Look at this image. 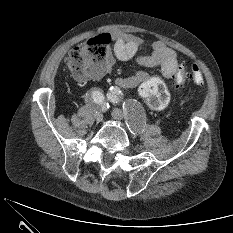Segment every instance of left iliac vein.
<instances>
[{
	"label": "left iliac vein",
	"mask_w": 233,
	"mask_h": 233,
	"mask_svg": "<svg viewBox=\"0 0 233 233\" xmlns=\"http://www.w3.org/2000/svg\"><path fill=\"white\" fill-rule=\"evenodd\" d=\"M112 117L115 119V120H118V121H121L123 119H125L128 123V127L130 129V131L134 134V135H138L140 133V127L139 125L132 119V118H126L123 114V112L118 109V108H115L113 109L112 111Z\"/></svg>",
	"instance_id": "4c4485c4"
}]
</instances>
